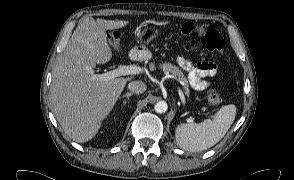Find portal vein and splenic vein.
Segmentation results:
<instances>
[{"instance_id":"18ae733b","label":"portal vein and splenic vein","mask_w":294,"mask_h":180,"mask_svg":"<svg viewBox=\"0 0 294 180\" xmlns=\"http://www.w3.org/2000/svg\"><path fill=\"white\" fill-rule=\"evenodd\" d=\"M140 71L138 67H132V66H118L116 69L99 74L98 77L100 80H103L104 82H108L116 77L119 76H125L129 74H136ZM188 121H194L192 117L188 119Z\"/></svg>"}]
</instances>
